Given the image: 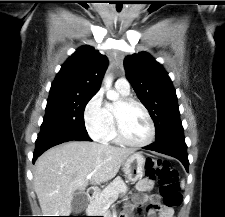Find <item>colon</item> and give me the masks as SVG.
Wrapping results in <instances>:
<instances>
[{
  "label": "colon",
  "instance_id": "colon-1",
  "mask_svg": "<svg viewBox=\"0 0 225 217\" xmlns=\"http://www.w3.org/2000/svg\"><path fill=\"white\" fill-rule=\"evenodd\" d=\"M145 171L148 178L158 180L164 206L169 208L180 206L182 194L177 170L165 160L148 158Z\"/></svg>",
  "mask_w": 225,
  "mask_h": 217
}]
</instances>
